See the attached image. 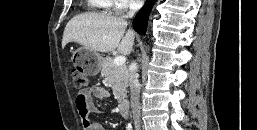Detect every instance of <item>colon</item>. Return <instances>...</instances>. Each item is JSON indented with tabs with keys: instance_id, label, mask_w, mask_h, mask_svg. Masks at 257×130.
<instances>
[{
	"instance_id": "1",
	"label": "colon",
	"mask_w": 257,
	"mask_h": 130,
	"mask_svg": "<svg viewBox=\"0 0 257 130\" xmlns=\"http://www.w3.org/2000/svg\"><path fill=\"white\" fill-rule=\"evenodd\" d=\"M73 83L76 88H82L87 85V78L84 73L79 70L73 71Z\"/></svg>"
}]
</instances>
